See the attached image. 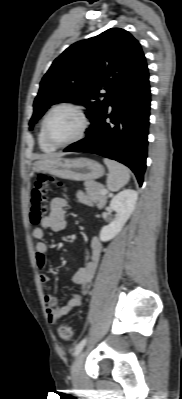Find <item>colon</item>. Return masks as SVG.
Instances as JSON below:
<instances>
[{"mask_svg":"<svg viewBox=\"0 0 182 399\" xmlns=\"http://www.w3.org/2000/svg\"><path fill=\"white\" fill-rule=\"evenodd\" d=\"M52 187L63 188L62 183L56 181L51 176L39 174L31 191V212L30 221L33 225H38L46 217L48 211L47 191ZM58 334L61 339L68 341L73 338V330L69 324H60Z\"/></svg>","mask_w":182,"mask_h":399,"instance_id":"5ec220e1","label":"colon"}]
</instances>
